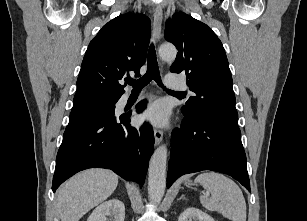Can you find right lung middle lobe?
I'll return each mask as SVG.
<instances>
[{"mask_svg":"<svg viewBox=\"0 0 307 221\" xmlns=\"http://www.w3.org/2000/svg\"><path fill=\"white\" fill-rule=\"evenodd\" d=\"M117 101L104 100L73 105L66 130L110 117L115 113L114 105Z\"/></svg>","mask_w":307,"mask_h":221,"instance_id":"right-lung-middle-lobe-1","label":"right lung middle lobe"}]
</instances>
